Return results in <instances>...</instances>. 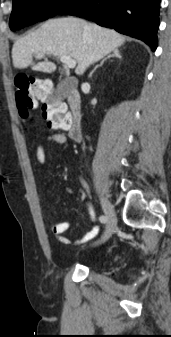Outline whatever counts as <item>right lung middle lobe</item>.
Segmentation results:
<instances>
[{
  "mask_svg": "<svg viewBox=\"0 0 171 337\" xmlns=\"http://www.w3.org/2000/svg\"><path fill=\"white\" fill-rule=\"evenodd\" d=\"M76 0H13L9 26L12 31L57 15Z\"/></svg>",
  "mask_w": 171,
  "mask_h": 337,
  "instance_id": "1",
  "label": "right lung middle lobe"
}]
</instances>
